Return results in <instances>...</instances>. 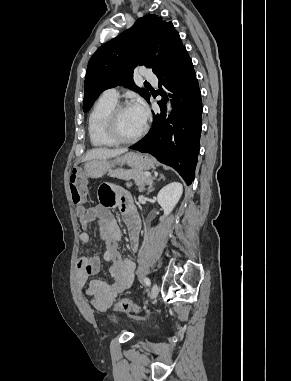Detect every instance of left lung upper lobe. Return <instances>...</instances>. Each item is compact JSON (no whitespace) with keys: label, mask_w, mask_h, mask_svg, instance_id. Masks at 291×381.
Returning <instances> with one entry per match:
<instances>
[{"label":"left lung upper lobe","mask_w":291,"mask_h":381,"mask_svg":"<svg viewBox=\"0 0 291 381\" xmlns=\"http://www.w3.org/2000/svg\"><path fill=\"white\" fill-rule=\"evenodd\" d=\"M185 48L172 22L157 15L139 18L128 30L103 44L91 57L85 77L83 111H88L106 89L125 85L149 101L150 93L133 82L138 65L159 75Z\"/></svg>","instance_id":"left-lung-upper-lobe-1"}]
</instances>
